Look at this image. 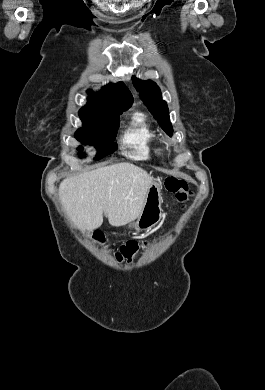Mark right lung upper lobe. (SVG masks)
Returning <instances> with one entry per match:
<instances>
[{"label":"right lung upper lobe","instance_id":"obj_1","mask_svg":"<svg viewBox=\"0 0 265 390\" xmlns=\"http://www.w3.org/2000/svg\"><path fill=\"white\" fill-rule=\"evenodd\" d=\"M133 103V96L122 83L108 84L102 88L100 95L89 90L87 104L81 110L96 111L113 117H119Z\"/></svg>","mask_w":265,"mask_h":390}]
</instances>
